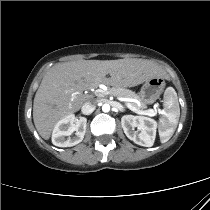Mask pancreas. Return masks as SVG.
Listing matches in <instances>:
<instances>
[{
    "label": "pancreas",
    "instance_id": "cf45deb5",
    "mask_svg": "<svg viewBox=\"0 0 210 210\" xmlns=\"http://www.w3.org/2000/svg\"><path fill=\"white\" fill-rule=\"evenodd\" d=\"M108 94L116 97H122V98H130V99H139V96L129 90L122 87H112L108 89ZM140 100V99H139ZM134 107L138 108V105L136 103H131ZM146 107L144 104H141V108Z\"/></svg>",
    "mask_w": 210,
    "mask_h": 210
}]
</instances>
